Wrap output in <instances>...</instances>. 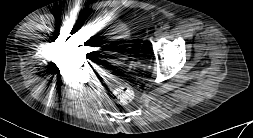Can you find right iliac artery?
Returning <instances> with one entry per match:
<instances>
[{
  "mask_svg": "<svg viewBox=\"0 0 253 138\" xmlns=\"http://www.w3.org/2000/svg\"><path fill=\"white\" fill-rule=\"evenodd\" d=\"M75 27H76V25H75L74 23H70V24L68 25V28H69L70 30H74Z\"/></svg>",
  "mask_w": 253,
  "mask_h": 138,
  "instance_id": "right-iliac-artery-1",
  "label": "right iliac artery"
}]
</instances>
